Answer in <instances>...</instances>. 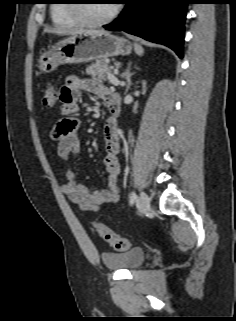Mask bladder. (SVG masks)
I'll return each mask as SVG.
<instances>
[{
  "mask_svg": "<svg viewBox=\"0 0 236 321\" xmlns=\"http://www.w3.org/2000/svg\"><path fill=\"white\" fill-rule=\"evenodd\" d=\"M146 251L142 248H134L124 252L103 253L101 258L105 267L109 270H135L146 260Z\"/></svg>",
  "mask_w": 236,
  "mask_h": 321,
  "instance_id": "bladder-1",
  "label": "bladder"
}]
</instances>
